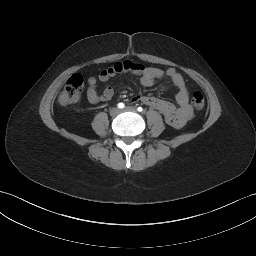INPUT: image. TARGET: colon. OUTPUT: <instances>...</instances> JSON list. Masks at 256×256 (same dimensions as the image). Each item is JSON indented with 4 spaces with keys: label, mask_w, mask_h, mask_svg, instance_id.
I'll list each match as a JSON object with an SVG mask.
<instances>
[{
    "label": "colon",
    "mask_w": 256,
    "mask_h": 256,
    "mask_svg": "<svg viewBox=\"0 0 256 256\" xmlns=\"http://www.w3.org/2000/svg\"><path fill=\"white\" fill-rule=\"evenodd\" d=\"M84 85L85 80L81 74H72L66 81V84L59 96L60 104L67 106L76 103L81 97ZM191 103L195 109H203L205 106L204 95L201 92H195L192 95Z\"/></svg>",
    "instance_id": "1"
}]
</instances>
